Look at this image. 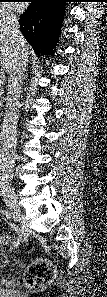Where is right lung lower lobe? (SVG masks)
I'll use <instances>...</instances> for the list:
<instances>
[{"label": "right lung lower lobe", "mask_w": 107, "mask_h": 297, "mask_svg": "<svg viewBox=\"0 0 107 297\" xmlns=\"http://www.w3.org/2000/svg\"><path fill=\"white\" fill-rule=\"evenodd\" d=\"M69 0H32L20 16V30L35 52L48 55L53 51ZM41 52V51H40Z\"/></svg>", "instance_id": "98d812e1"}]
</instances>
